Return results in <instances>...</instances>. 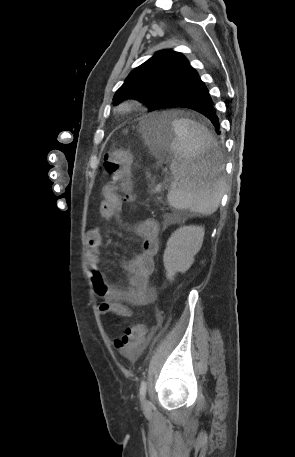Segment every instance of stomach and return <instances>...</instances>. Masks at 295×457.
I'll return each mask as SVG.
<instances>
[{"label":"stomach","instance_id":"0dacf381","mask_svg":"<svg viewBox=\"0 0 295 457\" xmlns=\"http://www.w3.org/2000/svg\"><path fill=\"white\" fill-rule=\"evenodd\" d=\"M141 132L148 145H163L168 152L172 151L171 144L177 140L173 121L161 116H148L141 124Z\"/></svg>","mask_w":295,"mask_h":457}]
</instances>
